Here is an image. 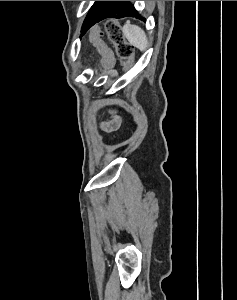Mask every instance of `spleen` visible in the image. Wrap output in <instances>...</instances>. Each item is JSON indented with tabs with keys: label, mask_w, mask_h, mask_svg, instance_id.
<instances>
[{
	"label": "spleen",
	"mask_w": 237,
	"mask_h": 300,
	"mask_svg": "<svg viewBox=\"0 0 237 300\" xmlns=\"http://www.w3.org/2000/svg\"><path fill=\"white\" fill-rule=\"evenodd\" d=\"M123 33L130 45H133L139 51H145L148 41L144 31L140 27H137V25H124Z\"/></svg>",
	"instance_id": "3e777b00"
}]
</instances>
